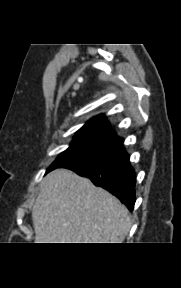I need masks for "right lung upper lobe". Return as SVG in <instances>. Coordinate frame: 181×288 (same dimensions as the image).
Returning <instances> with one entry per match:
<instances>
[{"mask_svg": "<svg viewBox=\"0 0 181 288\" xmlns=\"http://www.w3.org/2000/svg\"><path fill=\"white\" fill-rule=\"evenodd\" d=\"M73 141L84 142L114 154V157L126 153L122 147L123 140L109 130V123L104 115H99L88 121L79 129Z\"/></svg>", "mask_w": 181, "mask_h": 288, "instance_id": "1", "label": "right lung upper lobe"}]
</instances>
